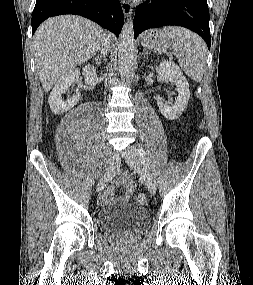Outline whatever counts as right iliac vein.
Returning <instances> with one entry per match:
<instances>
[{"mask_svg":"<svg viewBox=\"0 0 253 285\" xmlns=\"http://www.w3.org/2000/svg\"><path fill=\"white\" fill-rule=\"evenodd\" d=\"M120 164V160L118 157H113V159L110 161L109 166L106 170L105 175L101 178L98 186H97V191H102L104 187L109 183V181L112 180L114 177L118 167Z\"/></svg>","mask_w":253,"mask_h":285,"instance_id":"obj_1","label":"right iliac vein"}]
</instances>
